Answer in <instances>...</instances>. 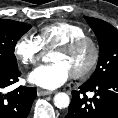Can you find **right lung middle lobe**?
<instances>
[{
    "instance_id": "obj_1",
    "label": "right lung middle lobe",
    "mask_w": 118,
    "mask_h": 118,
    "mask_svg": "<svg viewBox=\"0 0 118 118\" xmlns=\"http://www.w3.org/2000/svg\"><path fill=\"white\" fill-rule=\"evenodd\" d=\"M30 28L31 25L23 22L0 19V71L18 69L15 45Z\"/></svg>"
}]
</instances>
